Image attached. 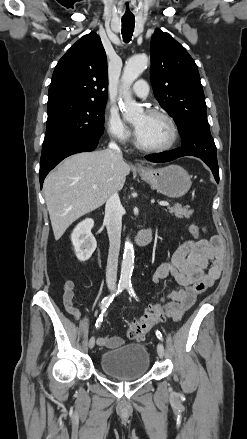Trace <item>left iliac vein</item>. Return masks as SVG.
<instances>
[{
	"label": "left iliac vein",
	"instance_id": "1",
	"mask_svg": "<svg viewBox=\"0 0 247 439\" xmlns=\"http://www.w3.org/2000/svg\"><path fill=\"white\" fill-rule=\"evenodd\" d=\"M157 353H158L160 358H163V356H164V347H163L162 343H158V345H157Z\"/></svg>",
	"mask_w": 247,
	"mask_h": 439
}]
</instances>
